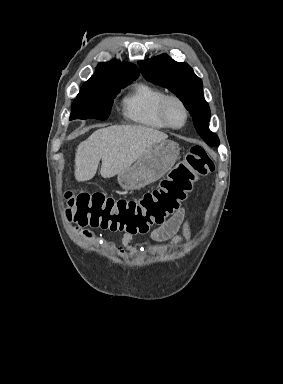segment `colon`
Masks as SVG:
<instances>
[{
	"mask_svg": "<svg viewBox=\"0 0 283 384\" xmlns=\"http://www.w3.org/2000/svg\"><path fill=\"white\" fill-rule=\"evenodd\" d=\"M214 170L215 163L206 149L195 145L157 188L141 198L116 199L102 193L67 192L66 215L81 227H99L132 235L146 233L179 210L195 182Z\"/></svg>",
	"mask_w": 283,
	"mask_h": 384,
	"instance_id": "5ec220e1",
	"label": "colon"
}]
</instances>
